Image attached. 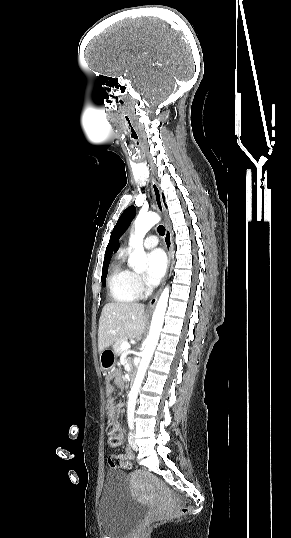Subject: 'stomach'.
Segmentation results:
<instances>
[{
  "label": "stomach",
  "mask_w": 291,
  "mask_h": 538,
  "mask_svg": "<svg viewBox=\"0 0 291 538\" xmlns=\"http://www.w3.org/2000/svg\"><path fill=\"white\" fill-rule=\"evenodd\" d=\"M116 357L117 355L112 347L104 349L100 353V365L102 371L106 372L111 369L115 364Z\"/></svg>",
  "instance_id": "0dacf381"
}]
</instances>
